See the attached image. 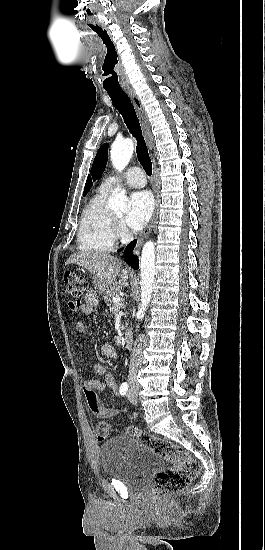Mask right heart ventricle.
Segmentation results:
<instances>
[{
  "mask_svg": "<svg viewBox=\"0 0 265 550\" xmlns=\"http://www.w3.org/2000/svg\"><path fill=\"white\" fill-rule=\"evenodd\" d=\"M110 191L99 188L86 205L77 233V243L81 251L108 252L116 240L114 214L106 206Z\"/></svg>",
  "mask_w": 265,
  "mask_h": 550,
  "instance_id": "obj_1",
  "label": "right heart ventricle"
}]
</instances>
